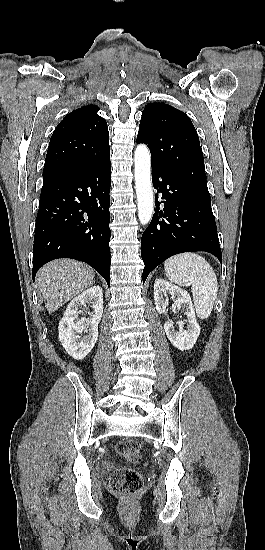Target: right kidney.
<instances>
[{
  "label": "right kidney",
  "instance_id": "1",
  "mask_svg": "<svg viewBox=\"0 0 265 550\" xmlns=\"http://www.w3.org/2000/svg\"><path fill=\"white\" fill-rule=\"evenodd\" d=\"M92 307L90 318L82 317V307ZM103 314V291L100 286L88 288L68 305L60 323L59 340L74 359L82 360L93 349L98 338V324ZM83 331L87 335H81Z\"/></svg>",
  "mask_w": 265,
  "mask_h": 550
}]
</instances>
